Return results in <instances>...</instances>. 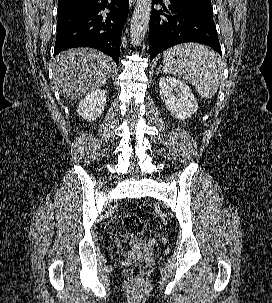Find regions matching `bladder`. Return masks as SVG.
Masks as SVG:
<instances>
[{
  "label": "bladder",
  "mask_w": 272,
  "mask_h": 303,
  "mask_svg": "<svg viewBox=\"0 0 272 303\" xmlns=\"http://www.w3.org/2000/svg\"><path fill=\"white\" fill-rule=\"evenodd\" d=\"M124 251H125V248H124V247H120V248L117 249V252H118V253H122V252H124Z\"/></svg>",
  "instance_id": "obj_1"
}]
</instances>
